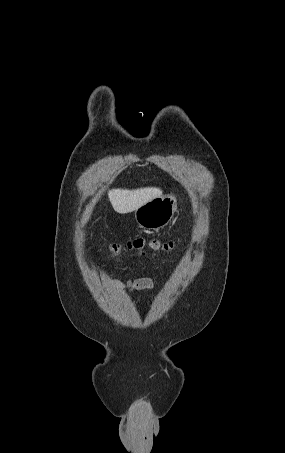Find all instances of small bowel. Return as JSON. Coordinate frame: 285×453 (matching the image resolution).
I'll return each instance as SVG.
<instances>
[{
    "mask_svg": "<svg viewBox=\"0 0 285 453\" xmlns=\"http://www.w3.org/2000/svg\"><path fill=\"white\" fill-rule=\"evenodd\" d=\"M154 287L155 283L151 278L143 277L137 279H128L123 289L126 292L130 293L135 290L153 289Z\"/></svg>",
    "mask_w": 285,
    "mask_h": 453,
    "instance_id": "small-bowel-1",
    "label": "small bowel"
}]
</instances>
